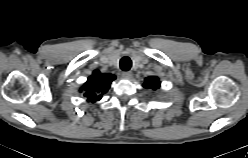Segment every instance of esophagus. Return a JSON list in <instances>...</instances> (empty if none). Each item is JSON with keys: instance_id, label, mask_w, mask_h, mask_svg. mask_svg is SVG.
<instances>
[{"instance_id": "1", "label": "esophagus", "mask_w": 248, "mask_h": 158, "mask_svg": "<svg viewBox=\"0 0 248 158\" xmlns=\"http://www.w3.org/2000/svg\"><path fill=\"white\" fill-rule=\"evenodd\" d=\"M122 77L125 79H130L132 77V72L130 71L122 72Z\"/></svg>"}]
</instances>
